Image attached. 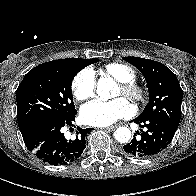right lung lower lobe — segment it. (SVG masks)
Here are the masks:
<instances>
[{"label": "right lung lower lobe", "mask_w": 196, "mask_h": 196, "mask_svg": "<svg viewBox=\"0 0 196 196\" xmlns=\"http://www.w3.org/2000/svg\"><path fill=\"white\" fill-rule=\"evenodd\" d=\"M75 115L62 120H39L20 129L28 150L43 162L55 166L64 165L79 158L87 145L86 136L92 128L78 127L76 139H65L61 128L65 125L72 126Z\"/></svg>", "instance_id": "98d812e1"}]
</instances>
